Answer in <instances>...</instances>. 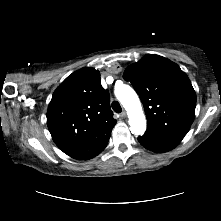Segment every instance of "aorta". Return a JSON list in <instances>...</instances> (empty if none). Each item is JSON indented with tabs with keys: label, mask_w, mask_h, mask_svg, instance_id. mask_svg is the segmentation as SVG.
Returning a JSON list of instances; mask_svg holds the SVG:
<instances>
[{
	"label": "aorta",
	"mask_w": 221,
	"mask_h": 221,
	"mask_svg": "<svg viewBox=\"0 0 221 221\" xmlns=\"http://www.w3.org/2000/svg\"><path fill=\"white\" fill-rule=\"evenodd\" d=\"M115 95L127 111L130 131L135 135H143L146 131V117L138 95L129 85H121L115 89Z\"/></svg>",
	"instance_id": "762f6f07"
}]
</instances>
